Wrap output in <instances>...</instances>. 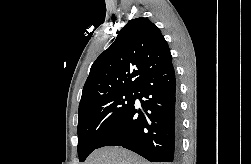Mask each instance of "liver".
Listing matches in <instances>:
<instances>
[{
	"label": "liver",
	"instance_id": "6515ba94",
	"mask_svg": "<svg viewBox=\"0 0 251 164\" xmlns=\"http://www.w3.org/2000/svg\"><path fill=\"white\" fill-rule=\"evenodd\" d=\"M84 164H150L122 147H103L90 154Z\"/></svg>",
	"mask_w": 251,
	"mask_h": 164
}]
</instances>
